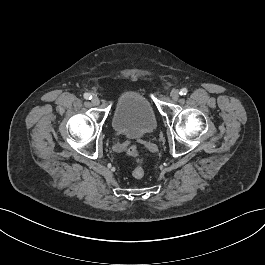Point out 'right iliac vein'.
<instances>
[{
  "label": "right iliac vein",
  "instance_id": "right-iliac-vein-1",
  "mask_svg": "<svg viewBox=\"0 0 265 265\" xmlns=\"http://www.w3.org/2000/svg\"><path fill=\"white\" fill-rule=\"evenodd\" d=\"M93 105H99L100 104V99L98 97H93L91 100Z\"/></svg>",
  "mask_w": 265,
  "mask_h": 265
}]
</instances>
